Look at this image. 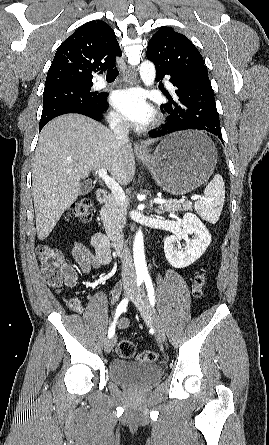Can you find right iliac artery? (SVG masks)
Listing matches in <instances>:
<instances>
[{"label": "right iliac artery", "mask_w": 269, "mask_h": 445, "mask_svg": "<svg viewBox=\"0 0 269 445\" xmlns=\"http://www.w3.org/2000/svg\"><path fill=\"white\" fill-rule=\"evenodd\" d=\"M142 282H143V278H142V277L137 278V287H139V286L142 284ZM127 305H128V299L125 298V299H123V300L119 303V305L117 306L116 313H115V317H114V321H113V323L111 324V326L109 327V330H108V337H109V338L113 337V335H114V333H115V325H116V321H117L118 317H119L123 312L126 311Z\"/></svg>", "instance_id": "obj_1"}]
</instances>
